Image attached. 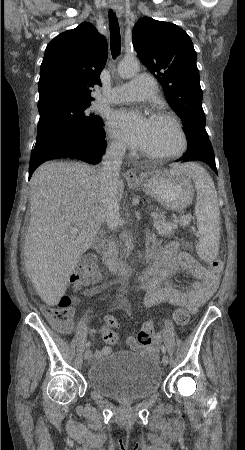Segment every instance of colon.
<instances>
[{
	"mask_svg": "<svg viewBox=\"0 0 245 450\" xmlns=\"http://www.w3.org/2000/svg\"><path fill=\"white\" fill-rule=\"evenodd\" d=\"M210 267L213 271H218L222 268V263L220 260H214ZM98 276L99 267L96 264V260L93 255L87 254L73 274L71 284L75 286L82 278H85L86 281L92 282L95 281ZM70 304L71 299L64 295L60 297L58 304L55 307H51L46 310L47 319L59 331L67 332L72 327ZM173 318L178 325L185 326L190 320V313L185 307L178 306L173 311ZM116 323L117 319L114 316H106V329L103 332V340L107 344L114 345L118 342V335L112 330V327ZM153 335L154 326L151 322H147L138 332L137 342L142 345H148L151 343Z\"/></svg>",
	"mask_w": 245,
	"mask_h": 450,
	"instance_id": "colon-1",
	"label": "colon"
}]
</instances>
